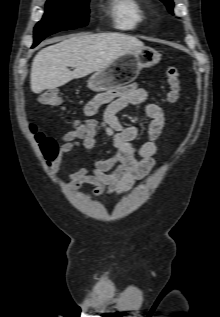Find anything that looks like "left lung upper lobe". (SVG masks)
<instances>
[{
    "label": "left lung upper lobe",
    "mask_w": 220,
    "mask_h": 317,
    "mask_svg": "<svg viewBox=\"0 0 220 317\" xmlns=\"http://www.w3.org/2000/svg\"><path fill=\"white\" fill-rule=\"evenodd\" d=\"M167 6L168 10L173 13V1L172 0H161Z\"/></svg>",
    "instance_id": "left-lung-upper-lobe-1"
}]
</instances>
